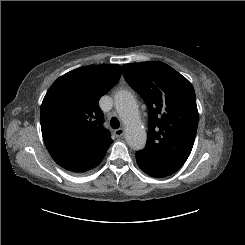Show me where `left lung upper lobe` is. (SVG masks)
Returning <instances> with one entry per match:
<instances>
[{"mask_svg":"<svg viewBox=\"0 0 245 245\" xmlns=\"http://www.w3.org/2000/svg\"><path fill=\"white\" fill-rule=\"evenodd\" d=\"M123 75L149 111L147 143L139 155L180 168L189 157L198 126L192 84L159 61L123 65Z\"/></svg>","mask_w":245,"mask_h":245,"instance_id":"left-lung-upper-lobe-1","label":"left lung upper lobe"}]
</instances>
